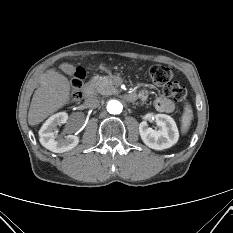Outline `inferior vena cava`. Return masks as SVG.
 <instances>
[{"instance_id": "obj_1", "label": "inferior vena cava", "mask_w": 233, "mask_h": 233, "mask_svg": "<svg viewBox=\"0 0 233 233\" xmlns=\"http://www.w3.org/2000/svg\"><path fill=\"white\" fill-rule=\"evenodd\" d=\"M85 105L88 108H96L100 105V100L96 96L88 97L85 100Z\"/></svg>"}]
</instances>
